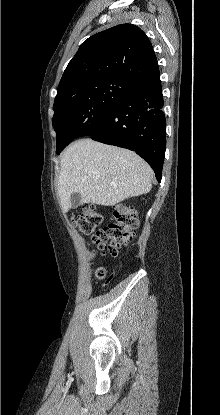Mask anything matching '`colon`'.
Instances as JSON below:
<instances>
[{
	"instance_id": "1",
	"label": "colon",
	"mask_w": 220,
	"mask_h": 415,
	"mask_svg": "<svg viewBox=\"0 0 220 415\" xmlns=\"http://www.w3.org/2000/svg\"><path fill=\"white\" fill-rule=\"evenodd\" d=\"M103 220L101 212L93 206H88L80 214L72 216L70 221L79 232L91 236L98 251L115 255L117 249L130 241L137 231L138 221L135 211L120 204L114 208L110 223L100 229ZM105 275V269L97 270L98 279H103Z\"/></svg>"
}]
</instances>
